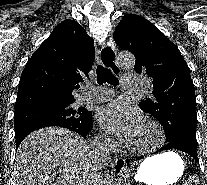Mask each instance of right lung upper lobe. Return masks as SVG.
<instances>
[{"mask_svg": "<svg viewBox=\"0 0 207 185\" xmlns=\"http://www.w3.org/2000/svg\"><path fill=\"white\" fill-rule=\"evenodd\" d=\"M94 58L93 39L85 29L74 20L59 23L25 65L15 111L42 104L72 105V91L88 78Z\"/></svg>", "mask_w": 207, "mask_h": 185, "instance_id": "1", "label": "right lung upper lobe"}]
</instances>
